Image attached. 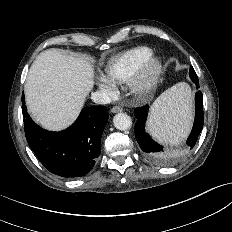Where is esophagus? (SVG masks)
I'll return each mask as SVG.
<instances>
[{
  "label": "esophagus",
  "mask_w": 232,
  "mask_h": 232,
  "mask_svg": "<svg viewBox=\"0 0 232 232\" xmlns=\"http://www.w3.org/2000/svg\"><path fill=\"white\" fill-rule=\"evenodd\" d=\"M122 111H123V108L121 106H114L111 109V113H119V112H122Z\"/></svg>",
  "instance_id": "1"
}]
</instances>
